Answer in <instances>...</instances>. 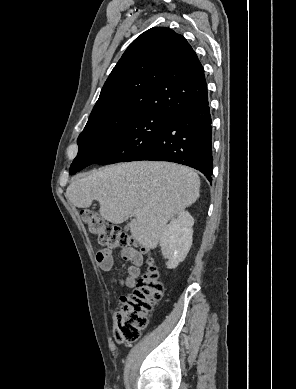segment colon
I'll use <instances>...</instances> for the list:
<instances>
[{
	"instance_id": "1",
	"label": "colon",
	"mask_w": 296,
	"mask_h": 389,
	"mask_svg": "<svg viewBox=\"0 0 296 389\" xmlns=\"http://www.w3.org/2000/svg\"><path fill=\"white\" fill-rule=\"evenodd\" d=\"M82 220L89 232L97 235L101 245L110 248H127L134 245L132 237L121 227L105 222L95 211H81ZM145 252V249H141ZM164 294V285L158 268L149 260L144 274L138 279L129 295L122 296L121 307L113 314L114 337L120 344L137 341L155 304Z\"/></svg>"
}]
</instances>
